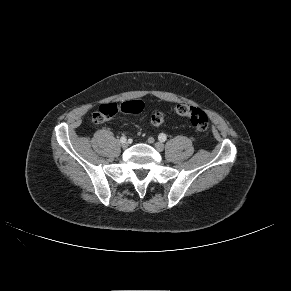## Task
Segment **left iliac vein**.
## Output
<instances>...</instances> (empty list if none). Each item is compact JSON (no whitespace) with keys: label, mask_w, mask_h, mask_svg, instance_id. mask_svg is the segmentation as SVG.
I'll return each instance as SVG.
<instances>
[{"label":"left iliac vein","mask_w":291,"mask_h":291,"mask_svg":"<svg viewBox=\"0 0 291 291\" xmlns=\"http://www.w3.org/2000/svg\"><path fill=\"white\" fill-rule=\"evenodd\" d=\"M154 147H155L156 150L159 151V152L163 151V149H164V145H163V143H161V142H156V143L154 144Z\"/></svg>","instance_id":"4c4485c4"}]
</instances>
